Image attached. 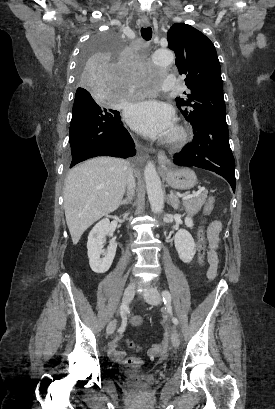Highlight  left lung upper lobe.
<instances>
[{"label": "left lung upper lobe", "mask_w": 275, "mask_h": 409, "mask_svg": "<svg viewBox=\"0 0 275 409\" xmlns=\"http://www.w3.org/2000/svg\"><path fill=\"white\" fill-rule=\"evenodd\" d=\"M168 47L176 54V66L185 74L190 93L176 98L177 107L193 128L205 121L226 122L220 63L213 43L185 23H175L167 33Z\"/></svg>", "instance_id": "5c2ea615"}]
</instances>
